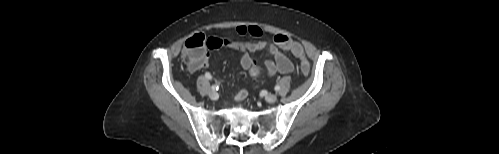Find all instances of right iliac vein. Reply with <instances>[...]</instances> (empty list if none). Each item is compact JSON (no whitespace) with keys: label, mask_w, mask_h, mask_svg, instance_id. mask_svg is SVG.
Instances as JSON below:
<instances>
[{"label":"right iliac vein","mask_w":499,"mask_h":154,"mask_svg":"<svg viewBox=\"0 0 499 154\" xmlns=\"http://www.w3.org/2000/svg\"><path fill=\"white\" fill-rule=\"evenodd\" d=\"M209 97H210V99H211V100H214V101H215V100H218L219 95H218V93H217V92L212 91V92H210V93H209Z\"/></svg>","instance_id":"right-iliac-vein-1"}]
</instances>
